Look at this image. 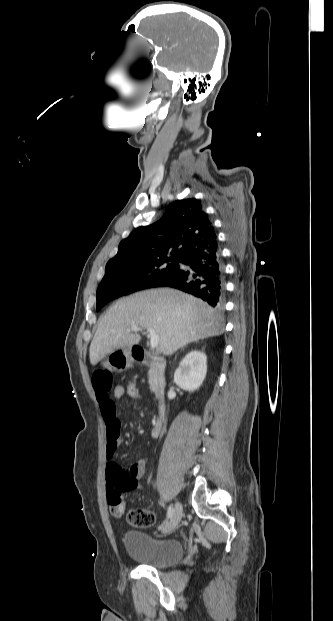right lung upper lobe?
<instances>
[{"mask_svg":"<svg viewBox=\"0 0 333 621\" xmlns=\"http://www.w3.org/2000/svg\"><path fill=\"white\" fill-rule=\"evenodd\" d=\"M217 243L208 215L195 198L172 202L155 223L136 228L107 265L166 257L183 258ZM178 247H180L178 249Z\"/></svg>","mask_w":333,"mask_h":621,"instance_id":"right-lung-upper-lobe-1","label":"right lung upper lobe"}]
</instances>
